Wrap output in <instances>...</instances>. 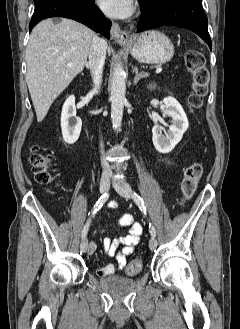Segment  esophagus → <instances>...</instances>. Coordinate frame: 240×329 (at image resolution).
I'll return each mask as SVG.
<instances>
[{"instance_id": "esophagus-1", "label": "esophagus", "mask_w": 240, "mask_h": 329, "mask_svg": "<svg viewBox=\"0 0 240 329\" xmlns=\"http://www.w3.org/2000/svg\"><path fill=\"white\" fill-rule=\"evenodd\" d=\"M111 36L120 45L124 46L128 43V33L123 31L116 22H112Z\"/></svg>"}]
</instances>
